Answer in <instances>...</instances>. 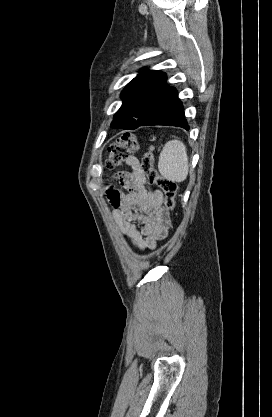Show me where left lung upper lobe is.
Here are the masks:
<instances>
[{
	"label": "left lung upper lobe",
	"instance_id": "1",
	"mask_svg": "<svg viewBox=\"0 0 272 417\" xmlns=\"http://www.w3.org/2000/svg\"><path fill=\"white\" fill-rule=\"evenodd\" d=\"M160 71L146 70L137 75L121 93L123 104L114 115L112 128L136 129L154 113L174 90Z\"/></svg>",
	"mask_w": 272,
	"mask_h": 417
}]
</instances>
